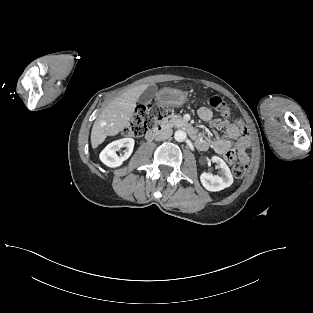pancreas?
Listing matches in <instances>:
<instances>
[{
    "label": "pancreas",
    "instance_id": "pancreas-1",
    "mask_svg": "<svg viewBox=\"0 0 313 313\" xmlns=\"http://www.w3.org/2000/svg\"><path fill=\"white\" fill-rule=\"evenodd\" d=\"M182 122H183V119L179 115H170L164 119V123H166L169 126H175Z\"/></svg>",
    "mask_w": 313,
    "mask_h": 313
}]
</instances>
